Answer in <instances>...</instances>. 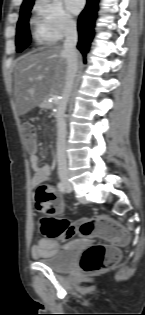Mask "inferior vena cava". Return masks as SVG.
<instances>
[{
	"label": "inferior vena cava",
	"mask_w": 145,
	"mask_h": 315,
	"mask_svg": "<svg viewBox=\"0 0 145 315\" xmlns=\"http://www.w3.org/2000/svg\"><path fill=\"white\" fill-rule=\"evenodd\" d=\"M78 41L77 27L74 22H68L65 28V41L63 45V54L66 58V77L65 84L62 91V99L58 106L57 121V162H58V175L60 179H67L69 177L67 167V155H66V122H65V110L68 99L70 97L76 73L78 70V54L76 45Z\"/></svg>",
	"instance_id": "inferior-vena-cava-1"
}]
</instances>
